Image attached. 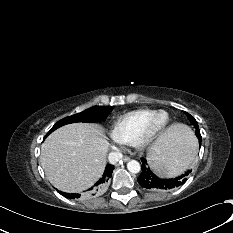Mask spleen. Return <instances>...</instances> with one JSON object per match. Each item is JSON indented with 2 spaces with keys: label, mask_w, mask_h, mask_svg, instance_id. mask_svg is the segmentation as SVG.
I'll list each match as a JSON object with an SVG mask.
<instances>
[{
  "label": "spleen",
  "mask_w": 233,
  "mask_h": 233,
  "mask_svg": "<svg viewBox=\"0 0 233 233\" xmlns=\"http://www.w3.org/2000/svg\"><path fill=\"white\" fill-rule=\"evenodd\" d=\"M196 150V138L186 127L183 133V139L180 145L175 149V156L172 162L166 167L171 169V176L178 173L176 168L188 169L194 164Z\"/></svg>",
  "instance_id": "obj_1"
}]
</instances>
